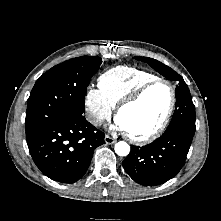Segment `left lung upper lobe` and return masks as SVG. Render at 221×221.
Wrapping results in <instances>:
<instances>
[{"mask_svg":"<svg viewBox=\"0 0 221 221\" xmlns=\"http://www.w3.org/2000/svg\"><path fill=\"white\" fill-rule=\"evenodd\" d=\"M136 60L148 63L153 69L167 79L176 83V106L172 120L165 132L183 130L195 133V106L191 94L183 78L165 64L148 57H134Z\"/></svg>","mask_w":221,"mask_h":221,"instance_id":"obj_1","label":"left lung upper lobe"}]
</instances>
